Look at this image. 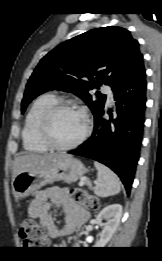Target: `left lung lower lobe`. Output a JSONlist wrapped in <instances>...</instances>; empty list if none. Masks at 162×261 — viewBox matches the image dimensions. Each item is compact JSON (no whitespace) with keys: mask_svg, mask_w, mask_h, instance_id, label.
Wrapping results in <instances>:
<instances>
[{"mask_svg":"<svg viewBox=\"0 0 162 261\" xmlns=\"http://www.w3.org/2000/svg\"><path fill=\"white\" fill-rule=\"evenodd\" d=\"M115 110L103 118L105 106L94 114L91 137L68 153L89 157L111 168L130 193L140 147L146 109V76L143 61L112 87Z\"/></svg>","mask_w":162,"mask_h":261,"instance_id":"obj_1","label":"left lung lower lobe"}]
</instances>
